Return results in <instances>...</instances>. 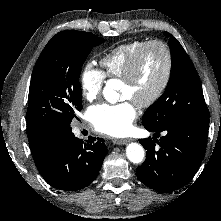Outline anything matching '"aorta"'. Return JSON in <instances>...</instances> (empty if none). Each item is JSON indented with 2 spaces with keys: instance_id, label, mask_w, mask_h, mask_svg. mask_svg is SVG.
<instances>
[{
  "instance_id": "1",
  "label": "aorta",
  "mask_w": 221,
  "mask_h": 221,
  "mask_svg": "<svg viewBox=\"0 0 221 221\" xmlns=\"http://www.w3.org/2000/svg\"><path fill=\"white\" fill-rule=\"evenodd\" d=\"M104 97L108 101H113L112 98L115 99L116 93L114 92L113 88L108 84L104 91ZM126 155L127 158L134 164L141 163L144 159L145 152L143 147L138 143H130L126 147Z\"/></svg>"
}]
</instances>
